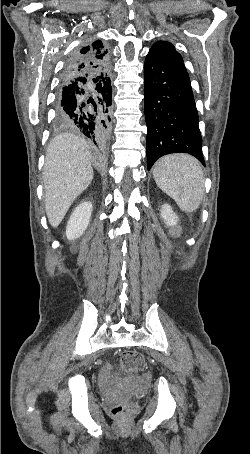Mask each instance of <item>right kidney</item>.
<instances>
[{
	"label": "right kidney",
	"mask_w": 250,
	"mask_h": 454,
	"mask_svg": "<svg viewBox=\"0 0 250 454\" xmlns=\"http://www.w3.org/2000/svg\"><path fill=\"white\" fill-rule=\"evenodd\" d=\"M91 213L92 203L89 201L82 202L74 209L66 226V236L69 240L82 236L88 227Z\"/></svg>",
	"instance_id": "ca27d5eb"
}]
</instances>
